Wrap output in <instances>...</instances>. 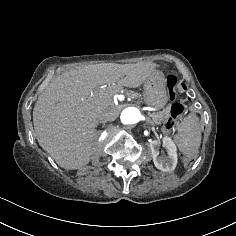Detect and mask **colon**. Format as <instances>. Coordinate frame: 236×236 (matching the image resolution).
<instances>
[{"label":"colon","mask_w":236,"mask_h":236,"mask_svg":"<svg viewBox=\"0 0 236 236\" xmlns=\"http://www.w3.org/2000/svg\"><path fill=\"white\" fill-rule=\"evenodd\" d=\"M176 83L177 79L174 75L167 76L166 89L171 101H174L176 98V92H175ZM183 113H184V105L179 102L173 103V105L171 106L170 115L165 123L166 127L169 129L173 128Z\"/></svg>","instance_id":"1"}]
</instances>
